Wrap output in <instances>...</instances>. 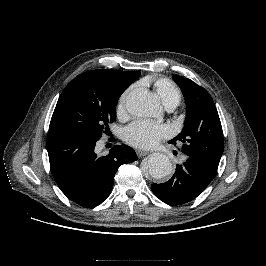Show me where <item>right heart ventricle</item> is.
Wrapping results in <instances>:
<instances>
[{
	"label": "right heart ventricle",
	"mask_w": 266,
	"mask_h": 266,
	"mask_svg": "<svg viewBox=\"0 0 266 266\" xmlns=\"http://www.w3.org/2000/svg\"><path fill=\"white\" fill-rule=\"evenodd\" d=\"M152 83L154 89L165 106H176L181 101L180 89L168 78H149L143 80V83Z\"/></svg>",
	"instance_id": "1"
}]
</instances>
